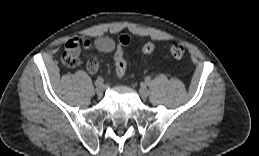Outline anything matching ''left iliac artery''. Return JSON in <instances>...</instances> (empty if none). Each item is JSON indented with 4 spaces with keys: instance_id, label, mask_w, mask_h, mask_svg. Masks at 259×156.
Listing matches in <instances>:
<instances>
[{
    "instance_id": "44dca946",
    "label": "left iliac artery",
    "mask_w": 259,
    "mask_h": 156,
    "mask_svg": "<svg viewBox=\"0 0 259 156\" xmlns=\"http://www.w3.org/2000/svg\"><path fill=\"white\" fill-rule=\"evenodd\" d=\"M146 84L150 85V78H146Z\"/></svg>"
}]
</instances>
